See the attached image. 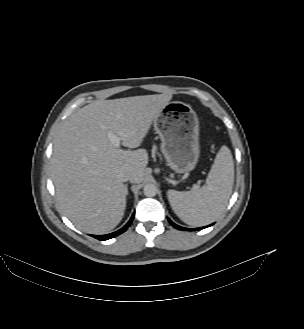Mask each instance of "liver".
Wrapping results in <instances>:
<instances>
[{
  "mask_svg": "<svg viewBox=\"0 0 304 329\" xmlns=\"http://www.w3.org/2000/svg\"><path fill=\"white\" fill-rule=\"evenodd\" d=\"M172 99L155 94L98 100L79 109L62 125L53 145L51 177L60 209L81 231L105 234L123 218L128 189L120 173L140 183L148 153L139 148L152 122ZM109 133L121 137L113 146Z\"/></svg>",
  "mask_w": 304,
  "mask_h": 329,
  "instance_id": "6515ba94",
  "label": "liver"
}]
</instances>
